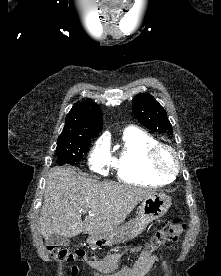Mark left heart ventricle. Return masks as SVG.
Segmentation results:
<instances>
[{"label":"left heart ventricle","instance_id":"left-heart-ventricle-1","mask_svg":"<svg viewBox=\"0 0 221 276\" xmlns=\"http://www.w3.org/2000/svg\"><path fill=\"white\" fill-rule=\"evenodd\" d=\"M163 159H164V162L167 165H171L172 164V158H171V156L168 153L164 154Z\"/></svg>","mask_w":221,"mask_h":276}]
</instances>
